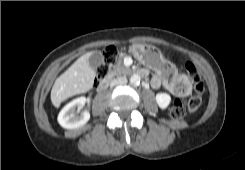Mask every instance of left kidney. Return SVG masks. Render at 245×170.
<instances>
[{
	"label": "left kidney",
	"instance_id": "5707ae66",
	"mask_svg": "<svg viewBox=\"0 0 245 170\" xmlns=\"http://www.w3.org/2000/svg\"><path fill=\"white\" fill-rule=\"evenodd\" d=\"M156 102L161 109H165L171 102V96L168 93H158L156 95Z\"/></svg>",
	"mask_w": 245,
	"mask_h": 170
}]
</instances>
